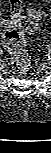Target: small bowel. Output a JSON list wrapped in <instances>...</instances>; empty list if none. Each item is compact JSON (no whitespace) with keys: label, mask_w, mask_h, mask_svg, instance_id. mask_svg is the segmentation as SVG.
I'll use <instances>...</instances> for the list:
<instances>
[{"label":"small bowel","mask_w":51,"mask_h":153,"mask_svg":"<svg viewBox=\"0 0 51 153\" xmlns=\"http://www.w3.org/2000/svg\"><path fill=\"white\" fill-rule=\"evenodd\" d=\"M31 15L35 16V13L34 12H31Z\"/></svg>","instance_id":"c3829d8e"}]
</instances>
